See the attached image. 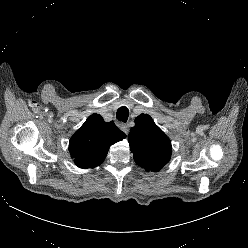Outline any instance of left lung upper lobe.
<instances>
[{
  "label": "left lung upper lobe",
  "mask_w": 248,
  "mask_h": 248,
  "mask_svg": "<svg viewBox=\"0 0 248 248\" xmlns=\"http://www.w3.org/2000/svg\"><path fill=\"white\" fill-rule=\"evenodd\" d=\"M135 162L147 171L158 172L171 158V142L147 114L135 119L128 135Z\"/></svg>",
  "instance_id": "left-lung-upper-lobe-1"
}]
</instances>
